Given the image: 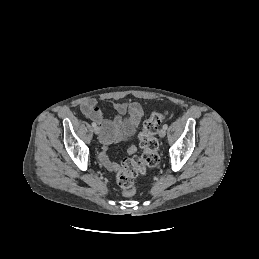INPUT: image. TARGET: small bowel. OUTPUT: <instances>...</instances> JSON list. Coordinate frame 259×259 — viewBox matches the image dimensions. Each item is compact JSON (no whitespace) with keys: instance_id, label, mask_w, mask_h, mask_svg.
I'll use <instances>...</instances> for the list:
<instances>
[{"instance_id":"obj_1","label":"small bowel","mask_w":259,"mask_h":259,"mask_svg":"<svg viewBox=\"0 0 259 259\" xmlns=\"http://www.w3.org/2000/svg\"><path fill=\"white\" fill-rule=\"evenodd\" d=\"M113 107L119 115H123L128 112L130 114V128H137L143 116V110L140 104L136 102L114 103ZM80 109L86 118L93 120L99 124L101 128L100 141L103 144V151L100 153L99 159L106 169L111 172H115L118 169V164L111 161L107 156V146L114 141L129 138L132 133L129 131H123V126L121 121L119 120V117H116L115 119H110L106 117L103 113V110L98 106V103L95 99H87L83 101L80 105ZM135 151L136 147L134 145H131L127 149L128 154H133Z\"/></svg>"}]
</instances>
